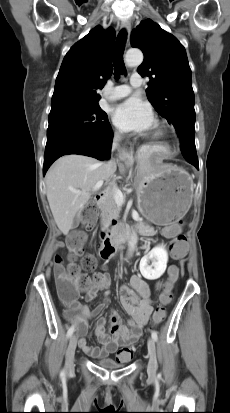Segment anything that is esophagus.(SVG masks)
Wrapping results in <instances>:
<instances>
[{"label":"esophagus","instance_id":"esophagus-1","mask_svg":"<svg viewBox=\"0 0 230 413\" xmlns=\"http://www.w3.org/2000/svg\"><path fill=\"white\" fill-rule=\"evenodd\" d=\"M121 27L129 33L131 30V22L129 20L123 21Z\"/></svg>","mask_w":230,"mask_h":413}]
</instances>
